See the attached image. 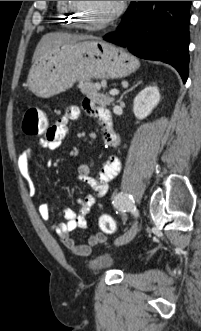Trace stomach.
Returning a JSON list of instances; mask_svg holds the SVG:
<instances>
[{
    "instance_id": "0dacf381",
    "label": "stomach",
    "mask_w": 201,
    "mask_h": 331,
    "mask_svg": "<svg viewBox=\"0 0 201 331\" xmlns=\"http://www.w3.org/2000/svg\"><path fill=\"white\" fill-rule=\"evenodd\" d=\"M137 58L103 40L62 44L32 65L28 82L35 95L49 98L77 81L123 78L139 68Z\"/></svg>"
}]
</instances>
